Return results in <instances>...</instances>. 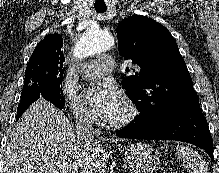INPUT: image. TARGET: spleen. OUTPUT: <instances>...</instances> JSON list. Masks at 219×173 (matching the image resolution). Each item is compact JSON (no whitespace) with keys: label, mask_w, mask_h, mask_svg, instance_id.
I'll return each instance as SVG.
<instances>
[{"label":"spleen","mask_w":219,"mask_h":173,"mask_svg":"<svg viewBox=\"0 0 219 173\" xmlns=\"http://www.w3.org/2000/svg\"><path fill=\"white\" fill-rule=\"evenodd\" d=\"M176 149L178 157L190 173H208V169L198 153L184 145H177Z\"/></svg>","instance_id":"spleen-1"}]
</instances>
